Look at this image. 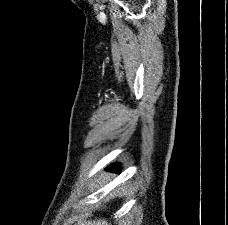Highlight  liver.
<instances>
[{
    "mask_svg": "<svg viewBox=\"0 0 228 225\" xmlns=\"http://www.w3.org/2000/svg\"><path fill=\"white\" fill-rule=\"evenodd\" d=\"M85 225H111V223H107V221H101V219H99V221H97V219H95V221H86Z\"/></svg>",
    "mask_w": 228,
    "mask_h": 225,
    "instance_id": "6515ba94",
    "label": "liver"
}]
</instances>
